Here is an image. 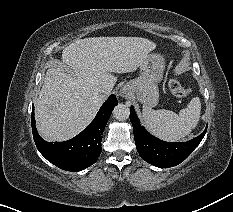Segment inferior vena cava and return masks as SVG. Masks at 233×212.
I'll use <instances>...</instances> for the list:
<instances>
[{"mask_svg":"<svg viewBox=\"0 0 233 212\" xmlns=\"http://www.w3.org/2000/svg\"><path fill=\"white\" fill-rule=\"evenodd\" d=\"M98 92L103 95H108L111 92V88L109 86H103L98 88Z\"/></svg>","mask_w":233,"mask_h":212,"instance_id":"inferior-vena-cava-1","label":"inferior vena cava"}]
</instances>
